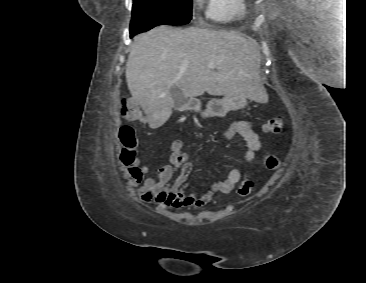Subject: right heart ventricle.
<instances>
[{"mask_svg": "<svg viewBox=\"0 0 366 283\" xmlns=\"http://www.w3.org/2000/svg\"><path fill=\"white\" fill-rule=\"evenodd\" d=\"M247 10L245 0H208L206 15L218 23H232L241 20Z\"/></svg>", "mask_w": 366, "mask_h": 283, "instance_id": "right-heart-ventricle-1", "label": "right heart ventricle"}]
</instances>
